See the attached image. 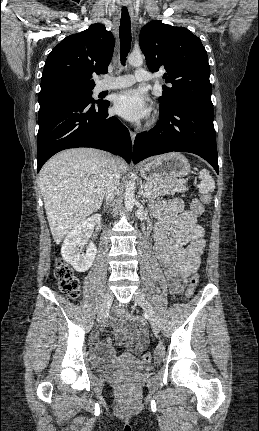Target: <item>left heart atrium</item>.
I'll use <instances>...</instances> for the list:
<instances>
[{
    "label": "left heart atrium",
    "instance_id": "left-heart-atrium-1",
    "mask_svg": "<svg viewBox=\"0 0 259 431\" xmlns=\"http://www.w3.org/2000/svg\"><path fill=\"white\" fill-rule=\"evenodd\" d=\"M114 111L129 121H140L150 113L146 97L139 91L130 89L119 93L114 99Z\"/></svg>",
    "mask_w": 259,
    "mask_h": 431
}]
</instances>
